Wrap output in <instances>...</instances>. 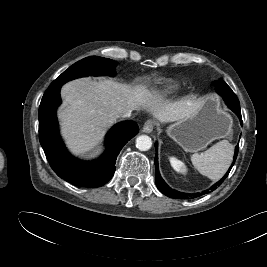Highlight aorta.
<instances>
[{
	"instance_id": "762f6f07",
	"label": "aorta",
	"mask_w": 267,
	"mask_h": 267,
	"mask_svg": "<svg viewBox=\"0 0 267 267\" xmlns=\"http://www.w3.org/2000/svg\"><path fill=\"white\" fill-rule=\"evenodd\" d=\"M136 147L140 151H147L152 147V140L147 135L138 136L136 139Z\"/></svg>"
}]
</instances>
